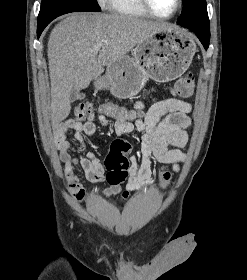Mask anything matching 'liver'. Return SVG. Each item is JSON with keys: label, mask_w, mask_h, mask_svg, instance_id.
Instances as JSON below:
<instances>
[{"label": "liver", "mask_w": 247, "mask_h": 280, "mask_svg": "<svg viewBox=\"0 0 247 280\" xmlns=\"http://www.w3.org/2000/svg\"><path fill=\"white\" fill-rule=\"evenodd\" d=\"M176 28L165 22L101 13H73L48 40L51 122L56 128L70 113V94L86 89L109 66L152 34ZM101 44L100 50L94 46Z\"/></svg>", "instance_id": "liver-1"}]
</instances>
